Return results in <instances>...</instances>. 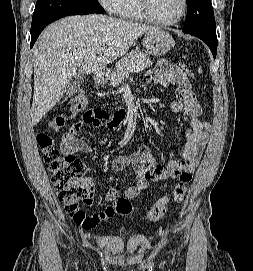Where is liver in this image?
I'll return each mask as SVG.
<instances>
[{
  "label": "liver",
  "instance_id": "6515ba94",
  "mask_svg": "<svg viewBox=\"0 0 253 271\" xmlns=\"http://www.w3.org/2000/svg\"><path fill=\"white\" fill-rule=\"evenodd\" d=\"M156 29L100 14L70 16L49 25L33 48L32 124L61 100L76 73L101 71L126 54L142 34ZM101 48L105 51L98 54Z\"/></svg>",
  "mask_w": 253,
  "mask_h": 271
}]
</instances>
